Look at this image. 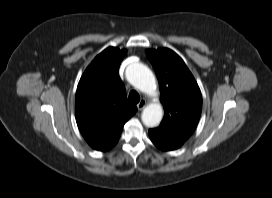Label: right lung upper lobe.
Here are the masks:
<instances>
[{"instance_id":"right-lung-upper-lobe-1","label":"right lung upper lobe","mask_w":272,"mask_h":198,"mask_svg":"<svg viewBox=\"0 0 272 198\" xmlns=\"http://www.w3.org/2000/svg\"><path fill=\"white\" fill-rule=\"evenodd\" d=\"M126 50L108 47L82 75L75 98L78 128L87 143L103 150L121 134L137 108L126 97L118 70Z\"/></svg>"}]
</instances>
